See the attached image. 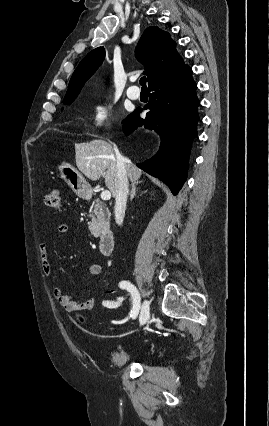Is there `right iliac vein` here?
Returning a JSON list of instances; mask_svg holds the SVG:
<instances>
[{"label": "right iliac vein", "instance_id": "1", "mask_svg": "<svg viewBox=\"0 0 269 426\" xmlns=\"http://www.w3.org/2000/svg\"><path fill=\"white\" fill-rule=\"evenodd\" d=\"M149 315H150V305H149V302L145 300L142 304V308H141V312L139 316L140 325H144L146 323V321L149 318Z\"/></svg>", "mask_w": 269, "mask_h": 426}]
</instances>
